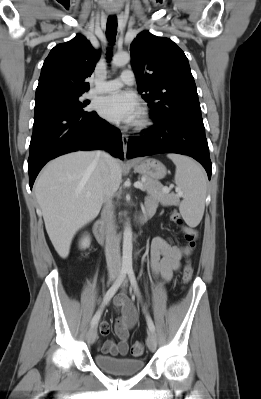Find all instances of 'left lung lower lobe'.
Returning <instances> with one entry per match:
<instances>
[{
	"label": "left lung lower lobe",
	"instance_id": "0a47b994",
	"mask_svg": "<svg viewBox=\"0 0 261 399\" xmlns=\"http://www.w3.org/2000/svg\"><path fill=\"white\" fill-rule=\"evenodd\" d=\"M151 118L155 124L143 130L140 133L143 136L128 140L127 157L159 153L188 155L202 164L210 180L212 164L201 112H182L164 121L156 120L152 116Z\"/></svg>",
	"mask_w": 261,
	"mask_h": 399
}]
</instances>
